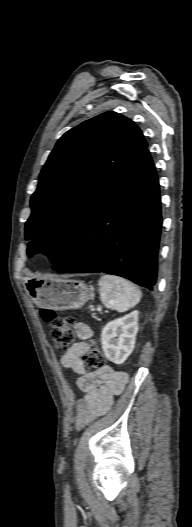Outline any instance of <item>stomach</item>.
I'll return each mask as SVG.
<instances>
[{
  "label": "stomach",
  "mask_w": 192,
  "mask_h": 527,
  "mask_svg": "<svg viewBox=\"0 0 192 527\" xmlns=\"http://www.w3.org/2000/svg\"><path fill=\"white\" fill-rule=\"evenodd\" d=\"M25 288L37 306L55 311L79 309L91 297L90 288L74 279L28 278Z\"/></svg>",
  "instance_id": "stomach-1"
}]
</instances>
